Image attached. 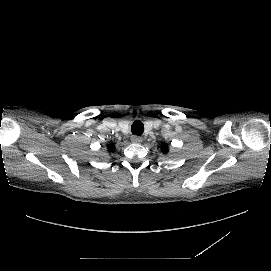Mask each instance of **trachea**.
<instances>
[{
    "instance_id": "obj_1",
    "label": "trachea",
    "mask_w": 271,
    "mask_h": 271,
    "mask_svg": "<svg viewBox=\"0 0 271 271\" xmlns=\"http://www.w3.org/2000/svg\"><path fill=\"white\" fill-rule=\"evenodd\" d=\"M131 131L133 134H136L138 136L142 135L144 132V125L141 122V120L136 119L134 120L132 126H131Z\"/></svg>"
}]
</instances>
